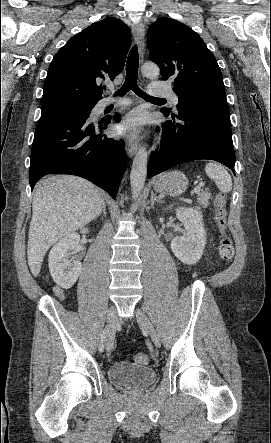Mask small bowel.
I'll list each match as a JSON object with an SVG mask.
<instances>
[{"mask_svg": "<svg viewBox=\"0 0 271 443\" xmlns=\"http://www.w3.org/2000/svg\"><path fill=\"white\" fill-rule=\"evenodd\" d=\"M54 292L56 293V295H58L59 297H62V291L59 288H55Z\"/></svg>", "mask_w": 271, "mask_h": 443, "instance_id": "c3829d8e", "label": "small bowel"}]
</instances>
